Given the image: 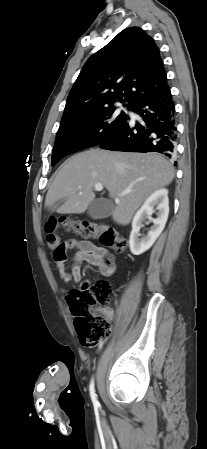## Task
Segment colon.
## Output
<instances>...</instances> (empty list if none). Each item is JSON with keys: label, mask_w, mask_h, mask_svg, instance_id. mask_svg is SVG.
Instances as JSON below:
<instances>
[{"label": "colon", "mask_w": 207, "mask_h": 449, "mask_svg": "<svg viewBox=\"0 0 207 449\" xmlns=\"http://www.w3.org/2000/svg\"><path fill=\"white\" fill-rule=\"evenodd\" d=\"M62 228L73 232L82 238H95L101 243L113 247L117 251L127 248V240L116 235L109 227H102L95 223L79 222L72 220H53L44 227L45 239L56 263H64L67 259V242L61 243L56 231ZM111 296V288L108 282L100 281L90 286L84 283L66 297L74 318V326L80 343L84 346H96L101 340L110 335V323L104 317L102 307L105 306Z\"/></svg>", "instance_id": "5ec220e1"}]
</instances>
